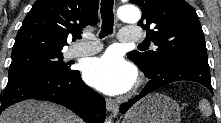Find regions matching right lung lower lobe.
I'll list each match as a JSON object with an SVG mask.
<instances>
[{"mask_svg": "<svg viewBox=\"0 0 221 123\" xmlns=\"http://www.w3.org/2000/svg\"><path fill=\"white\" fill-rule=\"evenodd\" d=\"M27 99L61 104L86 123H102L105 119L104 98L84 84L76 70L65 74L33 70L9 76L0 113L8 106Z\"/></svg>", "mask_w": 221, "mask_h": 123, "instance_id": "obj_1", "label": "right lung lower lobe"}]
</instances>
